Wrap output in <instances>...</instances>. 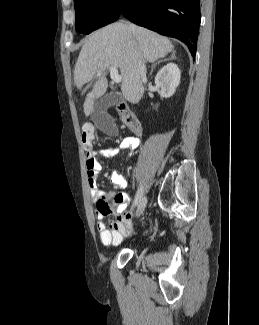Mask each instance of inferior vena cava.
Here are the masks:
<instances>
[{"mask_svg":"<svg viewBox=\"0 0 259 325\" xmlns=\"http://www.w3.org/2000/svg\"><path fill=\"white\" fill-rule=\"evenodd\" d=\"M131 30L134 32L135 31V26L134 25H129ZM138 70H139V74H140V78L143 82H145L147 80L146 78V66L144 63V60L142 59V57H139L138 59Z\"/></svg>","mask_w":259,"mask_h":325,"instance_id":"obj_1","label":"inferior vena cava"}]
</instances>
